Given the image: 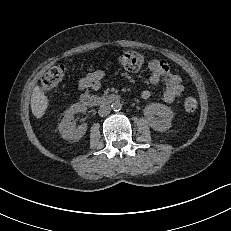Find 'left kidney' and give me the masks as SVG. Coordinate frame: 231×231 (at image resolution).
Returning a JSON list of instances; mask_svg holds the SVG:
<instances>
[{
    "mask_svg": "<svg viewBox=\"0 0 231 231\" xmlns=\"http://www.w3.org/2000/svg\"><path fill=\"white\" fill-rule=\"evenodd\" d=\"M144 116L152 129L164 132L171 127L174 114L166 105L151 103L144 108Z\"/></svg>",
    "mask_w": 231,
    "mask_h": 231,
    "instance_id": "obj_1",
    "label": "left kidney"
}]
</instances>
